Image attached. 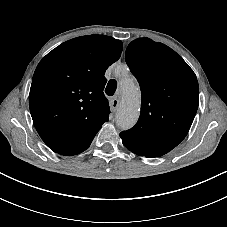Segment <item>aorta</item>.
<instances>
[{
	"label": "aorta",
	"mask_w": 227,
	"mask_h": 227,
	"mask_svg": "<svg viewBox=\"0 0 227 227\" xmlns=\"http://www.w3.org/2000/svg\"><path fill=\"white\" fill-rule=\"evenodd\" d=\"M122 104L116 114L117 125L122 129L133 127L140 111L141 95L138 85L133 79L122 78L120 80Z\"/></svg>",
	"instance_id": "762f6f07"
}]
</instances>
